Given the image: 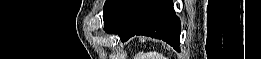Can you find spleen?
Wrapping results in <instances>:
<instances>
[{"instance_id":"1","label":"spleen","mask_w":261,"mask_h":59,"mask_svg":"<svg viewBox=\"0 0 261 59\" xmlns=\"http://www.w3.org/2000/svg\"><path fill=\"white\" fill-rule=\"evenodd\" d=\"M148 56H149V59H165L163 54L156 53V52H153V53L149 54Z\"/></svg>"}]
</instances>
